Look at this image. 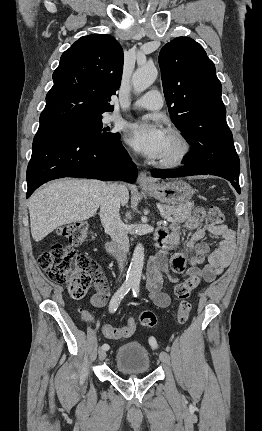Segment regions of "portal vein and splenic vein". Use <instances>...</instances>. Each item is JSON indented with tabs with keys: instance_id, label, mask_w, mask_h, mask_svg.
<instances>
[{
	"instance_id": "18ae733b",
	"label": "portal vein and splenic vein",
	"mask_w": 262,
	"mask_h": 431,
	"mask_svg": "<svg viewBox=\"0 0 262 431\" xmlns=\"http://www.w3.org/2000/svg\"><path fill=\"white\" fill-rule=\"evenodd\" d=\"M167 222H171L172 221V217L171 216H167L165 217Z\"/></svg>"
}]
</instances>
